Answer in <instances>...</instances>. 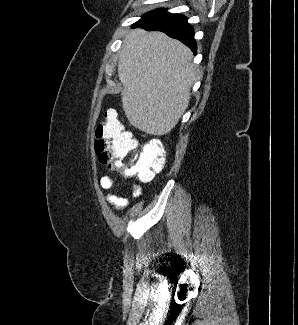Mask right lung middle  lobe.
<instances>
[{
    "instance_id": "1",
    "label": "right lung middle lobe",
    "mask_w": 298,
    "mask_h": 325,
    "mask_svg": "<svg viewBox=\"0 0 298 325\" xmlns=\"http://www.w3.org/2000/svg\"><path fill=\"white\" fill-rule=\"evenodd\" d=\"M168 14H170V13L165 12L164 9H157L155 11L145 14L141 20H145V19L150 20V19H154V18L161 17V16L168 15Z\"/></svg>"
}]
</instances>
